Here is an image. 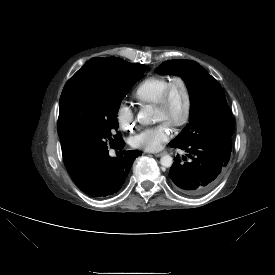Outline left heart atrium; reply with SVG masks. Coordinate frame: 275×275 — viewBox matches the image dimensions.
Masks as SVG:
<instances>
[{"mask_svg":"<svg viewBox=\"0 0 275 275\" xmlns=\"http://www.w3.org/2000/svg\"><path fill=\"white\" fill-rule=\"evenodd\" d=\"M171 124L163 122L155 127L145 128L131 138L136 148L155 152L160 150L170 139Z\"/></svg>","mask_w":275,"mask_h":275,"instance_id":"left-heart-atrium-1","label":"left heart atrium"}]
</instances>
